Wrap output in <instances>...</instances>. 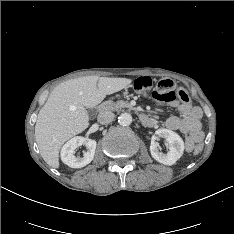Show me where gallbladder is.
<instances>
[{
    "instance_id": "1",
    "label": "gallbladder",
    "mask_w": 234,
    "mask_h": 234,
    "mask_svg": "<svg viewBox=\"0 0 234 234\" xmlns=\"http://www.w3.org/2000/svg\"><path fill=\"white\" fill-rule=\"evenodd\" d=\"M87 112L89 115H93L95 112V109H88Z\"/></svg>"
}]
</instances>
